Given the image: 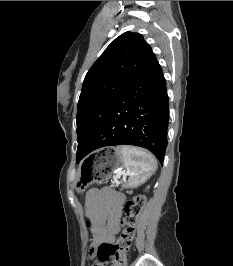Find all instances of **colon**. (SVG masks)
I'll use <instances>...</instances> for the list:
<instances>
[{
	"label": "colon",
	"mask_w": 233,
	"mask_h": 266,
	"mask_svg": "<svg viewBox=\"0 0 233 266\" xmlns=\"http://www.w3.org/2000/svg\"><path fill=\"white\" fill-rule=\"evenodd\" d=\"M146 198L137 195L125 204V213L122 219V229L114 243H104L98 246V263L94 266H126V255L135 236V227L144 208Z\"/></svg>",
	"instance_id": "5ec220e1"
}]
</instances>
